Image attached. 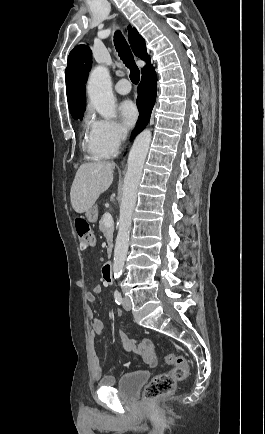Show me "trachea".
Returning a JSON list of instances; mask_svg holds the SVG:
<instances>
[{
  "instance_id": "trachea-1",
  "label": "trachea",
  "mask_w": 265,
  "mask_h": 434,
  "mask_svg": "<svg viewBox=\"0 0 265 434\" xmlns=\"http://www.w3.org/2000/svg\"><path fill=\"white\" fill-rule=\"evenodd\" d=\"M114 43L119 57L126 67L130 69V79L132 83L138 84L140 80V71L134 61L129 45L120 32L115 33Z\"/></svg>"
}]
</instances>
